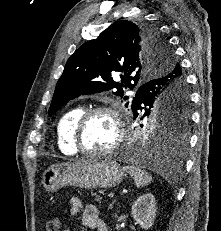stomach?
<instances>
[{"mask_svg":"<svg viewBox=\"0 0 221 231\" xmlns=\"http://www.w3.org/2000/svg\"><path fill=\"white\" fill-rule=\"evenodd\" d=\"M124 176L116 161L85 160L48 167L43 173L41 183L50 192L69 185L85 189L112 188L119 185Z\"/></svg>","mask_w":221,"mask_h":231,"instance_id":"obj_1","label":"stomach"}]
</instances>
